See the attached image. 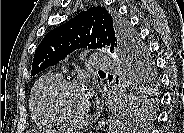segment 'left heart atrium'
I'll list each match as a JSON object with an SVG mask.
<instances>
[{"mask_svg":"<svg viewBox=\"0 0 184 133\" xmlns=\"http://www.w3.org/2000/svg\"><path fill=\"white\" fill-rule=\"evenodd\" d=\"M85 96H86V98H87V99H89V97H90V93H88V92H87V93H85Z\"/></svg>","mask_w":184,"mask_h":133,"instance_id":"39dd6f15","label":"left heart atrium"}]
</instances>
